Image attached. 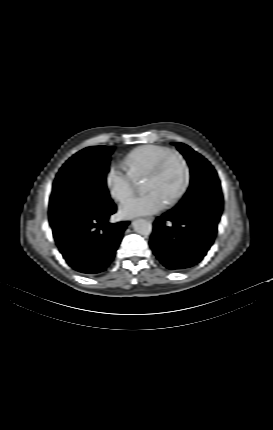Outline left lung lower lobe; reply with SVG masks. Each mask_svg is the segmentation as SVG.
I'll use <instances>...</instances> for the list:
<instances>
[{"label": "left lung lower lobe", "instance_id": "left-lung-lower-lobe-1", "mask_svg": "<svg viewBox=\"0 0 273 430\" xmlns=\"http://www.w3.org/2000/svg\"><path fill=\"white\" fill-rule=\"evenodd\" d=\"M222 205L221 193L205 190L158 217L150 247L160 262L171 270L199 263L214 242Z\"/></svg>", "mask_w": 273, "mask_h": 430}]
</instances>
